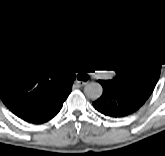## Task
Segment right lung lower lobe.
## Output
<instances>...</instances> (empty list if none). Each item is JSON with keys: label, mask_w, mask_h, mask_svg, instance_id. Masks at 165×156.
Here are the masks:
<instances>
[{"label": "right lung lower lobe", "mask_w": 165, "mask_h": 156, "mask_svg": "<svg viewBox=\"0 0 165 156\" xmlns=\"http://www.w3.org/2000/svg\"><path fill=\"white\" fill-rule=\"evenodd\" d=\"M67 86L68 87L49 106L22 119L34 124L45 123L52 119L60 111L63 102L67 99L72 90V84H67Z\"/></svg>", "instance_id": "obj_1"}]
</instances>
